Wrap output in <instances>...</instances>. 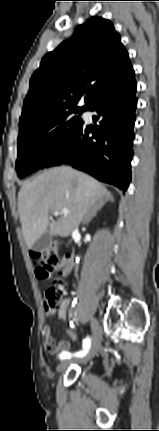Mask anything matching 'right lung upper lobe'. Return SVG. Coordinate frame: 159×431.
Masks as SVG:
<instances>
[{
	"label": "right lung upper lobe",
	"mask_w": 159,
	"mask_h": 431,
	"mask_svg": "<svg viewBox=\"0 0 159 431\" xmlns=\"http://www.w3.org/2000/svg\"><path fill=\"white\" fill-rule=\"evenodd\" d=\"M134 77L129 55L113 24L92 17L47 53L30 79L19 129L71 110L85 111ZM86 93L85 105L77 107Z\"/></svg>",
	"instance_id": "right-lung-upper-lobe-1"
}]
</instances>
